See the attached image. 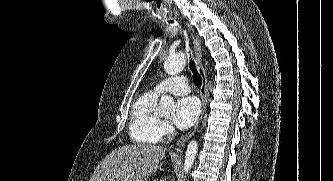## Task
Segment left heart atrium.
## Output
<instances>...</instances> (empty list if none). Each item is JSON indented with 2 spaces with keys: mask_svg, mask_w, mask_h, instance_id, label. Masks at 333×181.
<instances>
[{
  "mask_svg": "<svg viewBox=\"0 0 333 181\" xmlns=\"http://www.w3.org/2000/svg\"><path fill=\"white\" fill-rule=\"evenodd\" d=\"M200 115V104L195 97H183L178 100L172 121L179 129L192 126Z\"/></svg>",
  "mask_w": 333,
  "mask_h": 181,
  "instance_id": "left-heart-atrium-1",
  "label": "left heart atrium"
}]
</instances>
